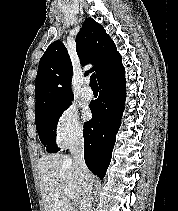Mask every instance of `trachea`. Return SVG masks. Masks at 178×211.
<instances>
[{"label": "trachea", "mask_w": 178, "mask_h": 211, "mask_svg": "<svg viewBox=\"0 0 178 211\" xmlns=\"http://www.w3.org/2000/svg\"><path fill=\"white\" fill-rule=\"evenodd\" d=\"M90 86L92 89H98V84H97L95 73H92V75L90 77Z\"/></svg>", "instance_id": "1"}]
</instances>
